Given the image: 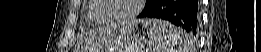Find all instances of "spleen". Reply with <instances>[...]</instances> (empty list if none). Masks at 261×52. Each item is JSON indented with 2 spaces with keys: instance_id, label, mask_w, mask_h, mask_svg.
I'll return each instance as SVG.
<instances>
[{
  "instance_id": "obj_1",
  "label": "spleen",
  "mask_w": 261,
  "mask_h": 52,
  "mask_svg": "<svg viewBox=\"0 0 261 52\" xmlns=\"http://www.w3.org/2000/svg\"><path fill=\"white\" fill-rule=\"evenodd\" d=\"M150 52H193L191 36L172 24L158 19H144Z\"/></svg>"
}]
</instances>
